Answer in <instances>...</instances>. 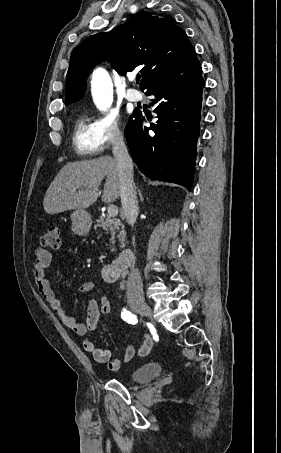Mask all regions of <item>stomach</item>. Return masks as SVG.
Wrapping results in <instances>:
<instances>
[{
	"mask_svg": "<svg viewBox=\"0 0 281 453\" xmlns=\"http://www.w3.org/2000/svg\"><path fill=\"white\" fill-rule=\"evenodd\" d=\"M72 231L76 235H87L91 229V216L84 208H76L71 214Z\"/></svg>",
	"mask_w": 281,
	"mask_h": 453,
	"instance_id": "obj_1",
	"label": "stomach"
}]
</instances>
